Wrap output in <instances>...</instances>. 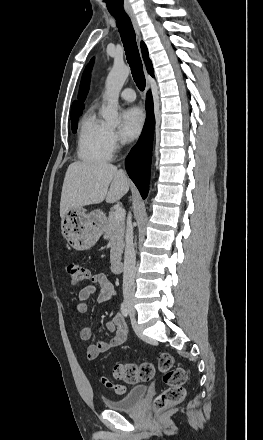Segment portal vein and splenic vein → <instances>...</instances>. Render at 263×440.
Here are the masks:
<instances>
[{
	"label": "portal vein and splenic vein",
	"instance_id": "18ae733b",
	"mask_svg": "<svg viewBox=\"0 0 263 440\" xmlns=\"http://www.w3.org/2000/svg\"><path fill=\"white\" fill-rule=\"evenodd\" d=\"M114 216L116 220L125 218V210L123 208H117L114 212Z\"/></svg>",
	"mask_w": 263,
	"mask_h": 440
}]
</instances>
